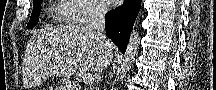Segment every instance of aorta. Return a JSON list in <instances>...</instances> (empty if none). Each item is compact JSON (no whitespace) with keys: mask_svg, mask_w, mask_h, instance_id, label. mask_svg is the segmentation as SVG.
Wrapping results in <instances>:
<instances>
[{"mask_svg":"<svg viewBox=\"0 0 216 90\" xmlns=\"http://www.w3.org/2000/svg\"><path fill=\"white\" fill-rule=\"evenodd\" d=\"M140 42V34L138 30H132L129 38V42L126 46L125 54L118 66L117 70V84L116 86H121L124 84L126 80V76L131 68V64H133L137 54H138V46Z\"/></svg>","mask_w":216,"mask_h":90,"instance_id":"aorta-1","label":"aorta"}]
</instances>
